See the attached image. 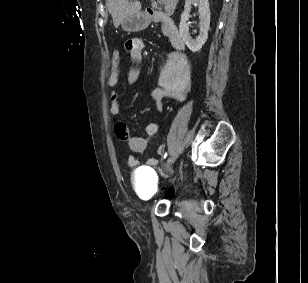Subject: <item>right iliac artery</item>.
<instances>
[{
  "label": "right iliac artery",
  "instance_id": "right-iliac-artery-1",
  "mask_svg": "<svg viewBox=\"0 0 308 283\" xmlns=\"http://www.w3.org/2000/svg\"><path fill=\"white\" fill-rule=\"evenodd\" d=\"M166 157H167V153H165V154H164V157H163V159L165 160V159H166Z\"/></svg>",
  "mask_w": 308,
  "mask_h": 283
}]
</instances>
